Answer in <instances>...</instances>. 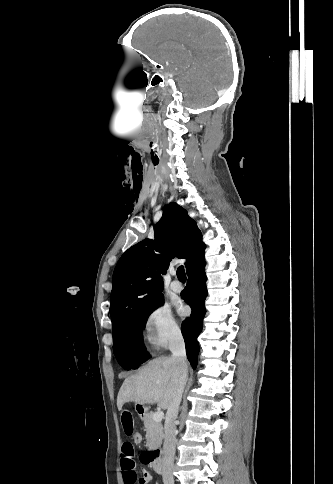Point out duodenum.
I'll return each mask as SVG.
<instances>
[{
  "instance_id": "obj_1",
  "label": "duodenum",
  "mask_w": 333,
  "mask_h": 484,
  "mask_svg": "<svg viewBox=\"0 0 333 484\" xmlns=\"http://www.w3.org/2000/svg\"><path fill=\"white\" fill-rule=\"evenodd\" d=\"M150 458H151V461H152V464H153L154 471L157 474H162L163 471H164V468H163L160 450L152 451V453L150 454Z\"/></svg>"
}]
</instances>
